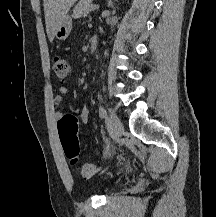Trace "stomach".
<instances>
[{
    "mask_svg": "<svg viewBox=\"0 0 216 217\" xmlns=\"http://www.w3.org/2000/svg\"><path fill=\"white\" fill-rule=\"evenodd\" d=\"M71 29H72V19L70 16H65L64 19L61 21L59 27L55 31L54 36L58 40H65L69 36Z\"/></svg>",
    "mask_w": 216,
    "mask_h": 217,
    "instance_id": "obj_1",
    "label": "stomach"
}]
</instances>
